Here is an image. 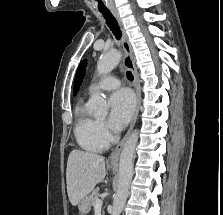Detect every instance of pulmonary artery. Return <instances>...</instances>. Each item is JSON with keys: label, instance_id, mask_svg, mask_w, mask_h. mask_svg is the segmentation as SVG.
<instances>
[{"label": "pulmonary artery", "instance_id": "pulmonary-artery-1", "mask_svg": "<svg viewBox=\"0 0 223 215\" xmlns=\"http://www.w3.org/2000/svg\"><path fill=\"white\" fill-rule=\"evenodd\" d=\"M120 86V80L115 73L109 74L108 76L100 79L99 81L93 82L89 88V94H94L101 90L116 89Z\"/></svg>", "mask_w": 223, "mask_h": 215}]
</instances>
